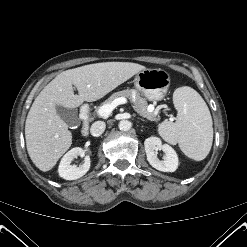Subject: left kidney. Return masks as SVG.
<instances>
[{"mask_svg": "<svg viewBox=\"0 0 247 247\" xmlns=\"http://www.w3.org/2000/svg\"><path fill=\"white\" fill-rule=\"evenodd\" d=\"M145 152L149 164L162 172H174L178 167V156L168 144H162L161 139L151 136L144 141ZM160 149L165 153L163 160L157 157L156 151Z\"/></svg>", "mask_w": 247, "mask_h": 247, "instance_id": "obj_1", "label": "left kidney"}]
</instances>
